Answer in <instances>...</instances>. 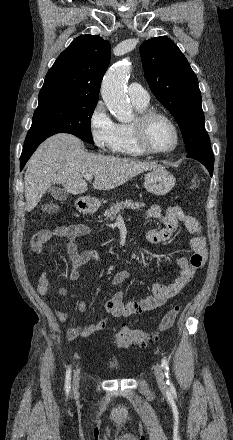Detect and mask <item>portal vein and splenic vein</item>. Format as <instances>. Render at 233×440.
<instances>
[{
	"label": "portal vein and splenic vein",
	"mask_w": 233,
	"mask_h": 440,
	"mask_svg": "<svg viewBox=\"0 0 233 440\" xmlns=\"http://www.w3.org/2000/svg\"><path fill=\"white\" fill-rule=\"evenodd\" d=\"M84 177L87 180H92L93 179V175L92 174H86Z\"/></svg>",
	"instance_id": "1"
}]
</instances>
